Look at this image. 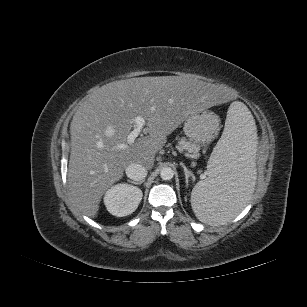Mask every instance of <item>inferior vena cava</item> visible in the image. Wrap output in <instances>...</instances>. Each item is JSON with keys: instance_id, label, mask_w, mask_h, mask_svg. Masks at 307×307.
I'll list each match as a JSON object with an SVG mask.
<instances>
[{"instance_id": "602c4592", "label": "inferior vena cava", "mask_w": 307, "mask_h": 307, "mask_svg": "<svg viewBox=\"0 0 307 307\" xmlns=\"http://www.w3.org/2000/svg\"><path fill=\"white\" fill-rule=\"evenodd\" d=\"M125 172L127 177L134 181H141L147 176V169L138 163L128 165Z\"/></svg>"}]
</instances>
